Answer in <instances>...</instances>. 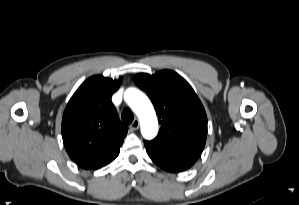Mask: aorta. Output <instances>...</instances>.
I'll return each mask as SVG.
<instances>
[{"mask_svg": "<svg viewBox=\"0 0 299 205\" xmlns=\"http://www.w3.org/2000/svg\"><path fill=\"white\" fill-rule=\"evenodd\" d=\"M124 98L139 117L143 137L153 139L158 132V120L148 97L137 89L129 88Z\"/></svg>", "mask_w": 299, "mask_h": 205, "instance_id": "762f6f07", "label": "aorta"}]
</instances>
